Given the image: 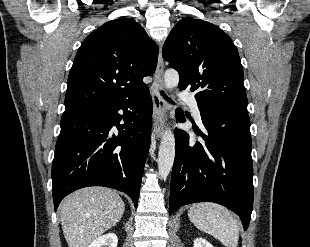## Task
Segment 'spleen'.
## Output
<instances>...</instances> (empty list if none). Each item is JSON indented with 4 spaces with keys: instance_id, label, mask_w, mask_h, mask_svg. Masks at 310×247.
I'll return each instance as SVG.
<instances>
[{
    "instance_id": "spleen-1",
    "label": "spleen",
    "mask_w": 310,
    "mask_h": 247,
    "mask_svg": "<svg viewBox=\"0 0 310 247\" xmlns=\"http://www.w3.org/2000/svg\"><path fill=\"white\" fill-rule=\"evenodd\" d=\"M190 221L201 231L218 239L226 247H237L239 225L225 207L210 202L194 204L188 211Z\"/></svg>"
}]
</instances>
